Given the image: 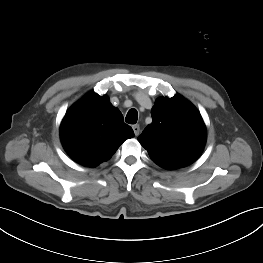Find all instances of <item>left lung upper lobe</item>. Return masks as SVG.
Here are the masks:
<instances>
[{"instance_id":"obj_1","label":"left lung upper lobe","mask_w":263,"mask_h":263,"mask_svg":"<svg viewBox=\"0 0 263 263\" xmlns=\"http://www.w3.org/2000/svg\"><path fill=\"white\" fill-rule=\"evenodd\" d=\"M151 114L152 123L138 137L150 158L168 170L193 163L206 142V127L198 110L176 94L157 99Z\"/></svg>"}]
</instances>
